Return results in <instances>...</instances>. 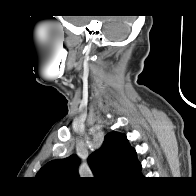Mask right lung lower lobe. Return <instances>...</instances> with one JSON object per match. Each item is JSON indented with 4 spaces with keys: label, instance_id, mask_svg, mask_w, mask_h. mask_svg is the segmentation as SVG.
I'll list each match as a JSON object with an SVG mask.
<instances>
[{
    "label": "right lung lower lobe",
    "instance_id": "1",
    "mask_svg": "<svg viewBox=\"0 0 196 196\" xmlns=\"http://www.w3.org/2000/svg\"><path fill=\"white\" fill-rule=\"evenodd\" d=\"M138 178H142V175H141V176H139Z\"/></svg>",
    "mask_w": 196,
    "mask_h": 196
}]
</instances>
